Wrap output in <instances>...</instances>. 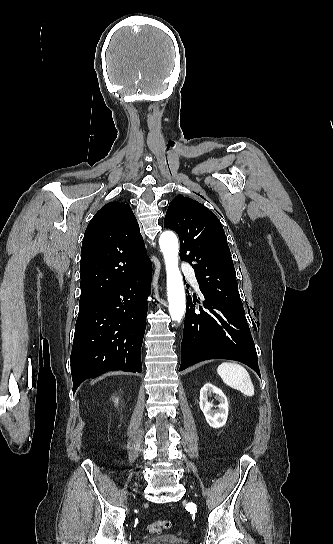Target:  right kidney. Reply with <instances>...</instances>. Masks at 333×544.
Segmentation results:
<instances>
[{
  "instance_id": "right-kidney-1",
  "label": "right kidney",
  "mask_w": 333,
  "mask_h": 544,
  "mask_svg": "<svg viewBox=\"0 0 333 544\" xmlns=\"http://www.w3.org/2000/svg\"><path fill=\"white\" fill-rule=\"evenodd\" d=\"M115 402H116V403H118V399H117V400H115Z\"/></svg>"
}]
</instances>
